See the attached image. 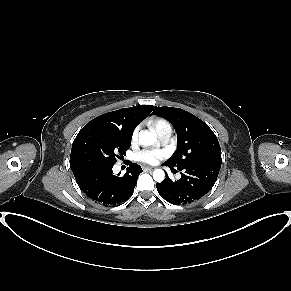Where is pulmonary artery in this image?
<instances>
[{
    "instance_id": "e3ab8cb5",
    "label": "pulmonary artery",
    "mask_w": 291,
    "mask_h": 291,
    "mask_svg": "<svg viewBox=\"0 0 291 291\" xmlns=\"http://www.w3.org/2000/svg\"><path fill=\"white\" fill-rule=\"evenodd\" d=\"M159 139L162 143H168L172 137L171 126H166L158 132Z\"/></svg>"
}]
</instances>
